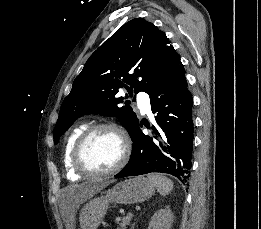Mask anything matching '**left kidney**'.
Returning a JSON list of instances; mask_svg holds the SVG:
<instances>
[{
  "label": "left kidney",
  "mask_w": 261,
  "mask_h": 229,
  "mask_svg": "<svg viewBox=\"0 0 261 229\" xmlns=\"http://www.w3.org/2000/svg\"><path fill=\"white\" fill-rule=\"evenodd\" d=\"M174 217L169 207L166 209H159L154 213L148 229H171Z\"/></svg>",
  "instance_id": "1"
}]
</instances>
